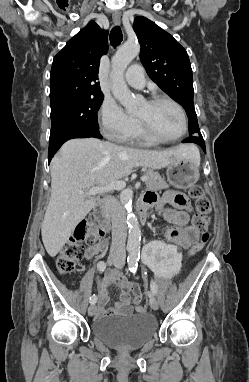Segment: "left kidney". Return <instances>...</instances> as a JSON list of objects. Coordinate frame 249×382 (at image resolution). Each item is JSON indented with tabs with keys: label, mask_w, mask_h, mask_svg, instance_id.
Segmentation results:
<instances>
[{
	"label": "left kidney",
	"mask_w": 249,
	"mask_h": 382,
	"mask_svg": "<svg viewBox=\"0 0 249 382\" xmlns=\"http://www.w3.org/2000/svg\"><path fill=\"white\" fill-rule=\"evenodd\" d=\"M161 237H155L154 241H147L143 245L141 255V267H150L158 277H183L184 267L179 245H167ZM170 284L168 281L165 283Z\"/></svg>",
	"instance_id": "5707ae66"
}]
</instances>
